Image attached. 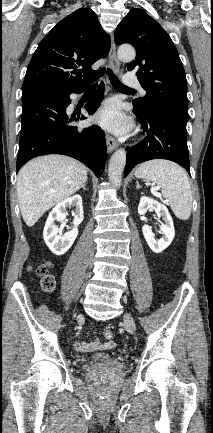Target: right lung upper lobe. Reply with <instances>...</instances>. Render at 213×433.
<instances>
[{"mask_svg": "<svg viewBox=\"0 0 213 433\" xmlns=\"http://www.w3.org/2000/svg\"><path fill=\"white\" fill-rule=\"evenodd\" d=\"M110 39L96 14L80 8L57 23L39 43L22 91L66 93L96 78L92 64L106 57Z\"/></svg>", "mask_w": 213, "mask_h": 433, "instance_id": "1", "label": "right lung upper lobe"}]
</instances>
